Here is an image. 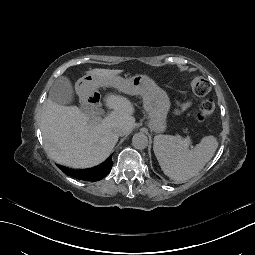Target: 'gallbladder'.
Returning a JSON list of instances; mask_svg holds the SVG:
<instances>
[{"instance_id":"bac80fb5","label":"gallbladder","mask_w":255,"mask_h":255,"mask_svg":"<svg viewBox=\"0 0 255 255\" xmlns=\"http://www.w3.org/2000/svg\"><path fill=\"white\" fill-rule=\"evenodd\" d=\"M49 98L58 104H70L73 100V88L70 80L67 77L61 76L55 80L50 91ZM90 105L81 104L80 111L84 114H88Z\"/></svg>"}]
</instances>
